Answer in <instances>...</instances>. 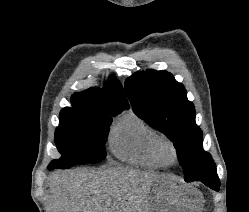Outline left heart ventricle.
Wrapping results in <instances>:
<instances>
[{
    "instance_id": "1",
    "label": "left heart ventricle",
    "mask_w": 249,
    "mask_h": 212,
    "mask_svg": "<svg viewBox=\"0 0 249 212\" xmlns=\"http://www.w3.org/2000/svg\"><path fill=\"white\" fill-rule=\"evenodd\" d=\"M167 154H168V156H169V157H171V154H170V152H167Z\"/></svg>"
}]
</instances>
